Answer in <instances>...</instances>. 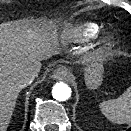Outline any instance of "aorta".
I'll return each instance as SVG.
<instances>
[{"label":"aorta","mask_w":131,"mask_h":131,"mask_svg":"<svg viewBox=\"0 0 131 131\" xmlns=\"http://www.w3.org/2000/svg\"><path fill=\"white\" fill-rule=\"evenodd\" d=\"M52 96L57 101H66L71 96V88L63 83H56L52 88Z\"/></svg>","instance_id":"aorta-1"}]
</instances>
